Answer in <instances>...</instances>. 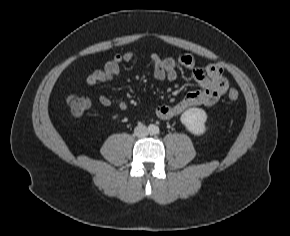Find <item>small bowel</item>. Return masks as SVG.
<instances>
[{
    "label": "small bowel",
    "mask_w": 290,
    "mask_h": 236,
    "mask_svg": "<svg viewBox=\"0 0 290 236\" xmlns=\"http://www.w3.org/2000/svg\"><path fill=\"white\" fill-rule=\"evenodd\" d=\"M134 54L130 51L115 54L107 61L103 68L92 71L86 78V84L90 87L98 83L112 80L120 72L122 63L131 62ZM156 79L173 82L178 77L177 66L180 65L192 71L194 81L200 89L192 90L177 104L160 105L154 109V114L161 119H169L180 115L186 109L194 106L210 107L215 105L228 88V79L223 74L222 67L218 64H209L204 68L196 65L193 55L188 53L180 54L177 59L172 57L162 58L157 54L150 56ZM101 105L108 107L112 99L107 95L99 97ZM116 104L122 110L126 109V103L117 100Z\"/></svg>",
    "instance_id": "1"
}]
</instances>
